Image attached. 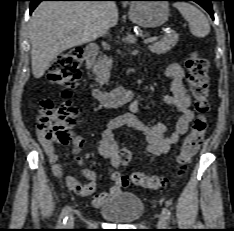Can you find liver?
Listing matches in <instances>:
<instances>
[{
    "label": "liver",
    "mask_w": 234,
    "mask_h": 231,
    "mask_svg": "<svg viewBox=\"0 0 234 231\" xmlns=\"http://www.w3.org/2000/svg\"><path fill=\"white\" fill-rule=\"evenodd\" d=\"M110 27L118 22L114 2L47 1L33 12L29 21L32 73L41 78L57 56L102 36L101 22Z\"/></svg>",
    "instance_id": "1"
}]
</instances>
